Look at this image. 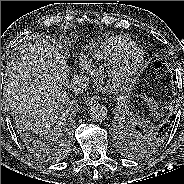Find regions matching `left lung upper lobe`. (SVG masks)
Returning <instances> with one entry per match:
<instances>
[{
	"instance_id": "obj_1",
	"label": "left lung upper lobe",
	"mask_w": 184,
	"mask_h": 184,
	"mask_svg": "<svg viewBox=\"0 0 184 184\" xmlns=\"http://www.w3.org/2000/svg\"><path fill=\"white\" fill-rule=\"evenodd\" d=\"M133 134L134 140L138 143L137 148L142 149V151H148L160 145L165 140V138L158 136L154 131L141 129L140 127H136Z\"/></svg>"
}]
</instances>
